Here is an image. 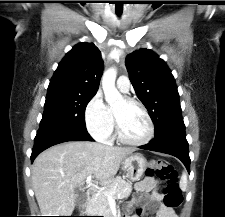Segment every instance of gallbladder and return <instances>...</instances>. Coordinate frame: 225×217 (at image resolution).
<instances>
[{
  "instance_id": "bac80fb5",
  "label": "gallbladder",
  "mask_w": 225,
  "mask_h": 217,
  "mask_svg": "<svg viewBox=\"0 0 225 217\" xmlns=\"http://www.w3.org/2000/svg\"><path fill=\"white\" fill-rule=\"evenodd\" d=\"M86 199H87V196H86L84 191H82V190H77L76 191L75 205L77 207L83 206L85 204V202H86Z\"/></svg>"
}]
</instances>
